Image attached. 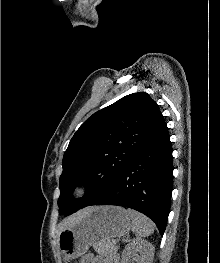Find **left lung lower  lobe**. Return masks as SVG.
I'll list each match as a JSON object with an SVG mask.
<instances>
[{
    "instance_id": "left-lung-lower-lobe-1",
    "label": "left lung lower lobe",
    "mask_w": 220,
    "mask_h": 263,
    "mask_svg": "<svg viewBox=\"0 0 220 263\" xmlns=\"http://www.w3.org/2000/svg\"><path fill=\"white\" fill-rule=\"evenodd\" d=\"M173 184L172 147L166 123L133 154L110 187L88 206L117 205L148 216L163 235Z\"/></svg>"
}]
</instances>
